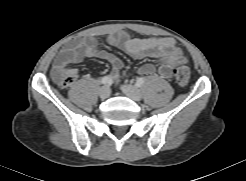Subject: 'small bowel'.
Masks as SVG:
<instances>
[{
	"mask_svg": "<svg viewBox=\"0 0 246 181\" xmlns=\"http://www.w3.org/2000/svg\"><path fill=\"white\" fill-rule=\"evenodd\" d=\"M106 43L122 49L136 59L151 58L157 61V65H141L138 72L142 75L158 73L162 78L168 79L172 76L174 66L183 59V53L173 38H134L123 33H111ZM84 57L108 61L114 77L123 69V61L117 55L103 49L95 37L84 36L72 40L61 50L54 61L53 70L64 68Z\"/></svg>",
	"mask_w": 246,
	"mask_h": 181,
	"instance_id": "obj_1",
	"label": "small bowel"
}]
</instances>
